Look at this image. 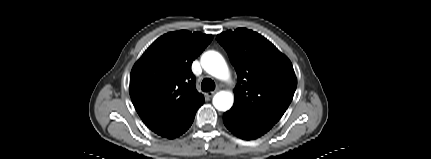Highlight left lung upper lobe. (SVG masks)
<instances>
[{
	"label": "left lung upper lobe",
	"instance_id": "1",
	"mask_svg": "<svg viewBox=\"0 0 431 159\" xmlns=\"http://www.w3.org/2000/svg\"><path fill=\"white\" fill-rule=\"evenodd\" d=\"M237 72L230 109L243 118L274 125L290 105L297 86L290 60L260 34L245 28L216 37Z\"/></svg>",
	"mask_w": 431,
	"mask_h": 159
}]
</instances>
